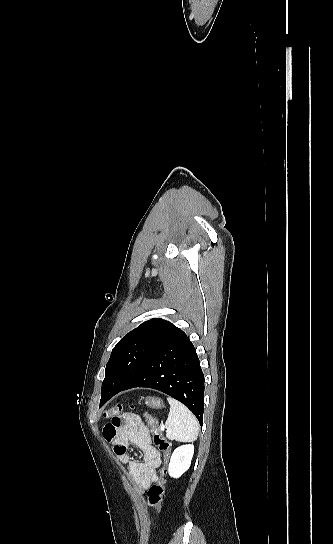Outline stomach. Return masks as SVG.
Masks as SVG:
<instances>
[{
    "mask_svg": "<svg viewBox=\"0 0 333 544\" xmlns=\"http://www.w3.org/2000/svg\"><path fill=\"white\" fill-rule=\"evenodd\" d=\"M145 404L152 408H161L164 406L163 400H161V398L155 397H147Z\"/></svg>",
    "mask_w": 333,
    "mask_h": 544,
    "instance_id": "obj_1",
    "label": "stomach"
}]
</instances>
